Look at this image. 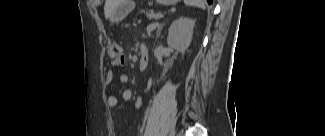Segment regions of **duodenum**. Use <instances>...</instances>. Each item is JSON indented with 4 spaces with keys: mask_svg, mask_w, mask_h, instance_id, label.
Here are the masks:
<instances>
[{
    "mask_svg": "<svg viewBox=\"0 0 325 136\" xmlns=\"http://www.w3.org/2000/svg\"><path fill=\"white\" fill-rule=\"evenodd\" d=\"M149 62V48L146 45L140 47V60L139 68L140 70H145Z\"/></svg>",
    "mask_w": 325,
    "mask_h": 136,
    "instance_id": "1",
    "label": "duodenum"
}]
</instances>
